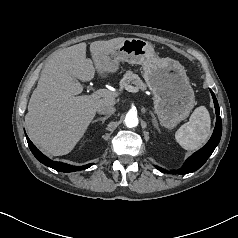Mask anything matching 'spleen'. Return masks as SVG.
I'll use <instances>...</instances> for the list:
<instances>
[{
  "mask_svg": "<svg viewBox=\"0 0 238 238\" xmlns=\"http://www.w3.org/2000/svg\"><path fill=\"white\" fill-rule=\"evenodd\" d=\"M211 135V120L205 106L197 107L187 123L175 133V139L186 150L201 148Z\"/></svg>",
  "mask_w": 238,
  "mask_h": 238,
  "instance_id": "spleen-1",
  "label": "spleen"
}]
</instances>
